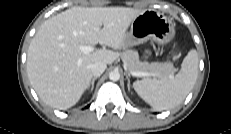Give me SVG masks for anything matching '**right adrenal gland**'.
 I'll return each mask as SVG.
<instances>
[{
  "label": "right adrenal gland",
  "mask_w": 231,
  "mask_h": 134,
  "mask_svg": "<svg viewBox=\"0 0 231 134\" xmlns=\"http://www.w3.org/2000/svg\"><path fill=\"white\" fill-rule=\"evenodd\" d=\"M99 77H93V79H92V81H91V88H90V92H92L93 91V89H94V83H95V80H97Z\"/></svg>",
  "instance_id": "obj_1"
}]
</instances>
